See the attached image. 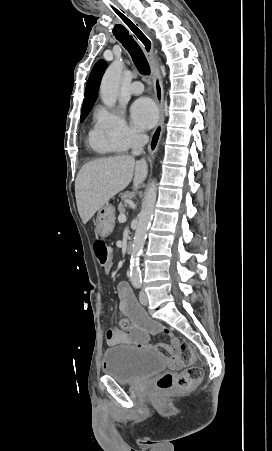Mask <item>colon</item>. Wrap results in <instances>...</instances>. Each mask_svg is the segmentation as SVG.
<instances>
[{"instance_id": "colon-1", "label": "colon", "mask_w": 272, "mask_h": 451, "mask_svg": "<svg viewBox=\"0 0 272 451\" xmlns=\"http://www.w3.org/2000/svg\"><path fill=\"white\" fill-rule=\"evenodd\" d=\"M94 253L99 266L106 267L110 261V248L107 243L103 240H96ZM174 349L173 359H176L179 365H186V367L179 373L164 372L161 374L156 382L157 388L161 391H169L173 388L191 389L203 375L201 365H196V351L192 350L191 342H175Z\"/></svg>"}]
</instances>
